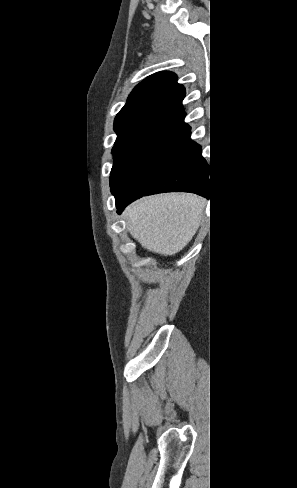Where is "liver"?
Masks as SVG:
<instances>
[{"label":"liver","instance_id":"obj_1","mask_svg":"<svg viewBox=\"0 0 297 488\" xmlns=\"http://www.w3.org/2000/svg\"><path fill=\"white\" fill-rule=\"evenodd\" d=\"M206 200L193 194H159L140 199L124 212L127 230L143 248L172 256L195 235Z\"/></svg>","mask_w":297,"mask_h":488}]
</instances>
